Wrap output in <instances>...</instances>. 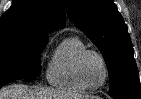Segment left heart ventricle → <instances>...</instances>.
<instances>
[{"instance_id": "b2bd125f", "label": "left heart ventricle", "mask_w": 141, "mask_h": 99, "mask_svg": "<svg viewBox=\"0 0 141 99\" xmlns=\"http://www.w3.org/2000/svg\"><path fill=\"white\" fill-rule=\"evenodd\" d=\"M104 67L96 55H88L83 63V76L90 85H99L104 79Z\"/></svg>"}]
</instances>
